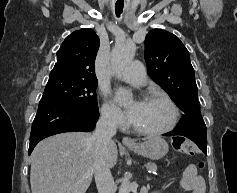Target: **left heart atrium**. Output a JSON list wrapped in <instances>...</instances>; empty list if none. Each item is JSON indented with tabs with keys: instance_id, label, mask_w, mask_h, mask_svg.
I'll use <instances>...</instances> for the list:
<instances>
[{
	"instance_id": "left-heart-atrium-1",
	"label": "left heart atrium",
	"mask_w": 237,
	"mask_h": 193,
	"mask_svg": "<svg viewBox=\"0 0 237 193\" xmlns=\"http://www.w3.org/2000/svg\"><path fill=\"white\" fill-rule=\"evenodd\" d=\"M139 103H135L133 106H131L127 112L128 118L132 121L135 117L136 111H137V107H138Z\"/></svg>"
}]
</instances>
